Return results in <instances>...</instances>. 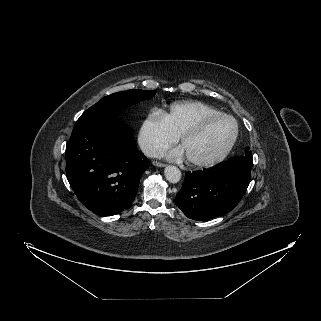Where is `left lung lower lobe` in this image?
Here are the masks:
<instances>
[{
  "mask_svg": "<svg viewBox=\"0 0 321 321\" xmlns=\"http://www.w3.org/2000/svg\"><path fill=\"white\" fill-rule=\"evenodd\" d=\"M253 159L236 156L204 171L189 172L175 198L190 219L204 221L231 211L250 182Z\"/></svg>",
  "mask_w": 321,
  "mask_h": 321,
  "instance_id": "0a47b994",
  "label": "left lung lower lobe"
}]
</instances>
